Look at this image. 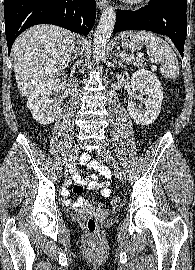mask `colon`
Wrapping results in <instances>:
<instances>
[{"instance_id": "obj_1", "label": "colon", "mask_w": 195, "mask_h": 270, "mask_svg": "<svg viewBox=\"0 0 195 270\" xmlns=\"http://www.w3.org/2000/svg\"><path fill=\"white\" fill-rule=\"evenodd\" d=\"M120 202V199L119 197L117 196H114L112 199H111V204L112 205H117L118 203ZM86 227L88 229V231L91 233V234H94L97 232L98 230V222L97 220L94 218V217H89L86 221Z\"/></svg>"}]
</instances>
